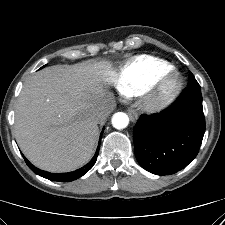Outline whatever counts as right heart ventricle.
I'll use <instances>...</instances> for the list:
<instances>
[{
	"label": "right heart ventricle",
	"mask_w": 225,
	"mask_h": 225,
	"mask_svg": "<svg viewBox=\"0 0 225 225\" xmlns=\"http://www.w3.org/2000/svg\"><path fill=\"white\" fill-rule=\"evenodd\" d=\"M173 65L151 55H139L124 65L115 82L125 96L142 93L161 74L171 71Z\"/></svg>",
	"instance_id": "e07e8e85"
}]
</instances>
